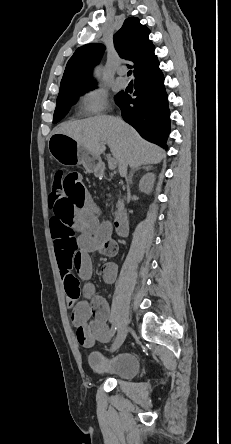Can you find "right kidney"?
I'll return each mask as SVG.
<instances>
[{"instance_id":"obj_1","label":"right kidney","mask_w":231,"mask_h":444,"mask_svg":"<svg viewBox=\"0 0 231 444\" xmlns=\"http://www.w3.org/2000/svg\"><path fill=\"white\" fill-rule=\"evenodd\" d=\"M155 175L152 173H148L146 175H144L139 183V189L144 192V193H149L151 190V186L153 184Z\"/></svg>"}]
</instances>
